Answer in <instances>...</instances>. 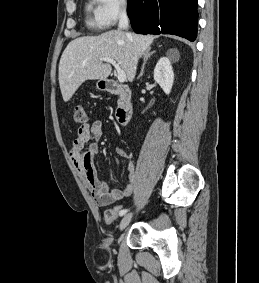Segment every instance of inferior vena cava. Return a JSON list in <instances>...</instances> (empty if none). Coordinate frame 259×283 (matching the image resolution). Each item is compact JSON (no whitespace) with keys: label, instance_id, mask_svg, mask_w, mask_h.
<instances>
[{"label":"inferior vena cava","instance_id":"inferior-vena-cava-1","mask_svg":"<svg viewBox=\"0 0 259 283\" xmlns=\"http://www.w3.org/2000/svg\"><path fill=\"white\" fill-rule=\"evenodd\" d=\"M119 29L127 30L129 27V19L126 11H123L119 19Z\"/></svg>","mask_w":259,"mask_h":283}]
</instances>
